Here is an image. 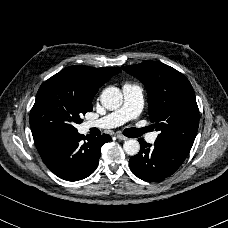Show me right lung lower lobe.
Returning <instances> with one entry per match:
<instances>
[{
  "mask_svg": "<svg viewBox=\"0 0 228 228\" xmlns=\"http://www.w3.org/2000/svg\"><path fill=\"white\" fill-rule=\"evenodd\" d=\"M110 140L107 134L85 137L78 132H66L36 139L35 144L43 162L55 175L78 181L95 171L101 147Z\"/></svg>",
  "mask_w": 228,
  "mask_h": 228,
  "instance_id": "1",
  "label": "right lung lower lobe"
}]
</instances>
